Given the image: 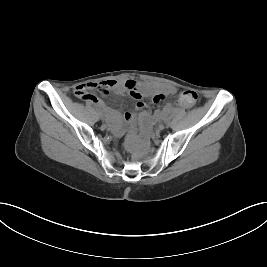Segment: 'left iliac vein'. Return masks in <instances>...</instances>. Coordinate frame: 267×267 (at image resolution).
I'll list each match as a JSON object with an SVG mask.
<instances>
[{
    "instance_id": "1",
    "label": "left iliac vein",
    "mask_w": 267,
    "mask_h": 267,
    "mask_svg": "<svg viewBox=\"0 0 267 267\" xmlns=\"http://www.w3.org/2000/svg\"><path fill=\"white\" fill-rule=\"evenodd\" d=\"M161 126H163V127H167L168 124H167V123H162Z\"/></svg>"
}]
</instances>
